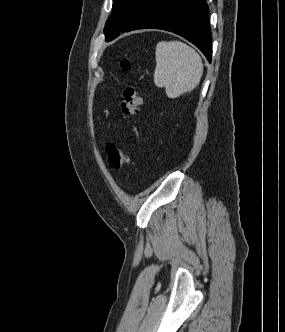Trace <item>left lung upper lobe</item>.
<instances>
[{"label":"left lung upper lobe","mask_w":285,"mask_h":332,"mask_svg":"<svg viewBox=\"0 0 285 332\" xmlns=\"http://www.w3.org/2000/svg\"><path fill=\"white\" fill-rule=\"evenodd\" d=\"M152 0H113V12L107 20L104 33L111 41L125 30L150 4Z\"/></svg>","instance_id":"5c2ea615"}]
</instances>
